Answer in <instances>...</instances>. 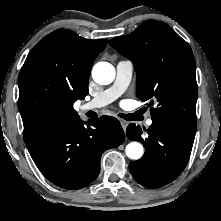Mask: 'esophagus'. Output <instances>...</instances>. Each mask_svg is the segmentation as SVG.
Returning a JSON list of instances; mask_svg holds the SVG:
<instances>
[{"label": "esophagus", "mask_w": 221, "mask_h": 221, "mask_svg": "<svg viewBox=\"0 0 221 221\" xmlns=\"http://www.w3.org/2000/svg\"><path fill=\"white\" fill-rule=\"evenodd\" d=\"M120 123H121V125H122L123 129H124V130H126L127 125H128V122H127V121H125V120H120Z\"/></svg>", "instance_id": "34e87169"}]
</instances>
